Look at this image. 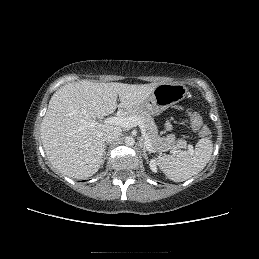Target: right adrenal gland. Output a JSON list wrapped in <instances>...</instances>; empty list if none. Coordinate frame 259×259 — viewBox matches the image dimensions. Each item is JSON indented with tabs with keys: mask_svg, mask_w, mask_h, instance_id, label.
<instances>
[{
	"mask_svg": "<svg viewBox=\"0 0 259 259\" xmlns=\"http://www.w3.org/2000/svg\"><path fill=\"white\" fill-rule=\"evenodd\" d=\"M110 143H106V145L104 146V156L106 155V148H107V145H109Z\"/></svg>",
	"mask_w": 259,
	"mask_h": 259,
	"instance_id": "obj_1",
	"label": "right adrenal gland"
}]
</instances>
